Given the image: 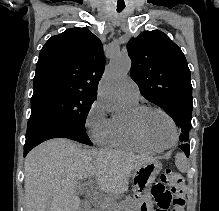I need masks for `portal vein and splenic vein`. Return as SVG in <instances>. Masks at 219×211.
Wrapping results in <instances>:
<instances>
[{"instance_id": "18ae733b", "label": "portal vein and splenic vein", "mask_w": 219, "mask_h": 211, "mask_svg": "<svg viewBox=\"0 0 219 211\" xmlns=\"http://www.w3.org/2000/svg\"><path fill=\"white\" fill-rule=\"evenodd\" d=\"M98 201H99V203H101V201H103V199H98ZM110 201H113V199H110ZM107 203H108V201H107ZM105 205H106V203H105ZM103 207H104V205H103Z\"/></svg>"}]
</instances>
